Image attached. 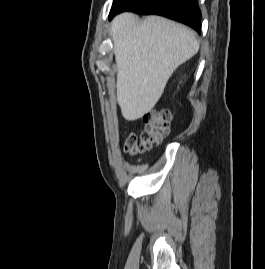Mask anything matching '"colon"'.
I'll return each instance as SVG.
<instances>
[{
  "label": "colon",
  "mask_w": 265,
  "mask_h": 269,
  "mask_svg": "<svg viewBox=\"0 0 265 269\" xmlns=\"http://www.w3.org/2000/svg\"><path fill=\"white\" fill-rule=\"evenodd\" d=\"M143 119L145 129L140 140L134 133H131L126 140L125 148L132 155H139L152 149L169 133L171 114L168 110L147 112Z\"/></svg>",
  "instance_id": "obj_1"
}]
</instances>
